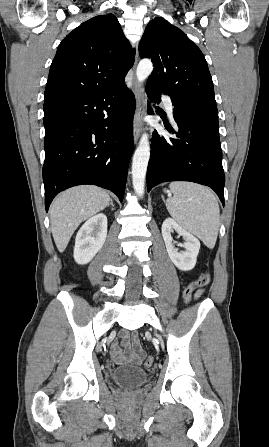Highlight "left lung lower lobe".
Here are the masks:
<instances>
[{"label": "left lung lower lobe", "instance_id": "0a47b994", "mask_svg": "<svg viewBox=\"0 0 269 447\" xmlns=\"http://www.w3.org/2000/svg\"><path fill=\"white\" fill-rule=\"evenodd\" d=\"M146 92L151 101H161L160 92L148 87ZM149 113L154 114L151 110ZM173 117L175 130L164 120L171 136L153 132L147 191L162 182L190 181L211 187L224 205L225 176L218 125L195 121L175 108Z\"/></svg>", "mask_w": 269, "mask_h": 447}]
</instances>
